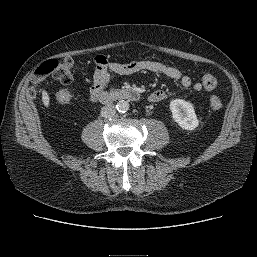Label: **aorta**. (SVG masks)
Returning <instances> with one entry per match:
<instances>
[{"instance_id": "obj_1", "label": "aorta", "mask_w": 257, "mask_h": 257, "mask_svg": "<svg viewBox=\"0 0 257 257\" xmlns=\"http://www.w3.org/2000/svg\"><path fill=\"white\" fill-rule=\"evenodd\" d=\"M116 109L119 113H126L129 110V103L126 100H119Z\"/></svg>"}]
</instances>
